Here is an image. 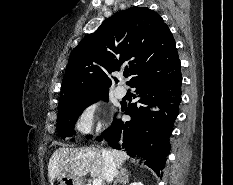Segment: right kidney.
<instances>
[{"label":"right kidney","mask_w":233,"mask_h":185,"mask_svg":"<svg viewBox=\"0 0 233 185\" xmlns=\"http://www.w3.org/2000/svg\"><path fill=\"white\" fill-rule=\"evenodd\" d=\"M130 185H143L141 182H133Z\"/></svg>","instance_id":"1"}]
</instances>
